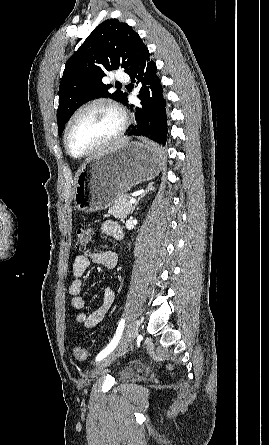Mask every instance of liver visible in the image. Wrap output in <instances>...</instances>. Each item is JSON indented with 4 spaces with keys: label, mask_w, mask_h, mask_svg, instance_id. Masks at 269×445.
Here are the masks:
<instances>
[{
    "label": "liver",
    "mask_w": 269,
    "mask_h": 445,
    "mask_svg": "<svg viewBox=\"0 0 269 445\" xmlns=\"http://www.w3.org/2000/svg\"><path fill=\"white\" fill-rule=\"evenodd\" d=\"M127 142H129V138H127V137L120 138V139L117 140L112 146H110L109 148H107V149L104 150V151H107V150H115L116 148L125 145Z\"/></svg>",
    "instance_id": "liver-1"
}]
</instances>
